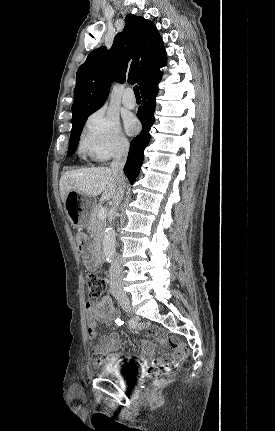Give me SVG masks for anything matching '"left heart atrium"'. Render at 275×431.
I'll return each instance as SVG.
<instances>
[{
	"label": "left heart atrium",
	"mask_w": 275,
	"mask_h": 431,
	"mask_svg": "<svg viewBox=\"0 0 275 431\" xmlns=\"http://www.w3.org/2000/svg\"><path fill=\"white\" fill-rule=\"evenodd\" d=\"M125 125H126L127 131L130 134H135L136 132H138L140 128L139 122L133 116H130L126 119Z\"/></svg>",
	"instance_id": "obj_1"
}]
</instances>
